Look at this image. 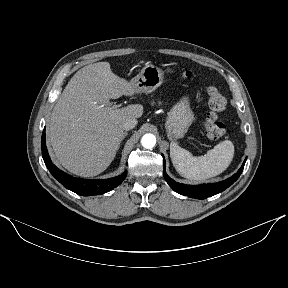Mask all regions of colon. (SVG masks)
Instances as JSON below:
<instances>
[{
    "instance_id": "obj_1",
    "label": "colon",
    "mask_w": 288,
    "mask_h": 288,
    "mask_svg": "<svg viewBox=\"0 0 288 288\" xmlns=\"http://www.w3.org/2000/svg\"><path fill=\"white\" fill-rule=\"evenodd\" d=\"M184 77H192V72L186 71ZM207 107L204 131L211 140L220 139L225 133V125L219 119V114L226 108V98L214 87L207 90Z\"/></svg>"
}]
</instances>
